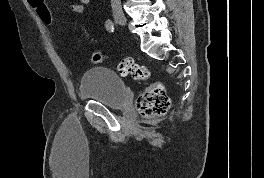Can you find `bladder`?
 <instances>
[{
    "label": "bladder",
    "instance_id": "1",
    "mask_svg": "<svg viewBox=\"0 0 264 178\" xmlns=\"http://www.w3.org/2000/svg\"><path fill=\"white\" fill-rule=\"evenodd\" d=\"M82 99L96 100L110 108H122L129 101V92L122 79L110 68L92 67L80 79Z\"/></svg>",
    "mask_w": 264,
    "mask_h": 178
}]
</instances>
